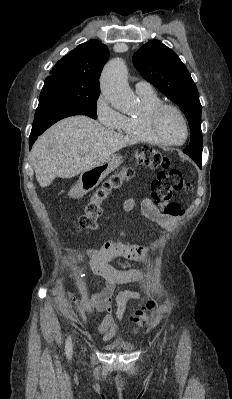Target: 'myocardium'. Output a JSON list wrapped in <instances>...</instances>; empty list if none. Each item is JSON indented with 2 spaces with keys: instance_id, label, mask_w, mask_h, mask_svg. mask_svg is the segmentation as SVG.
<instances>
[{
  "instance_id": "myocardium-1",
  "label": "myocardium",
  "mask_w": 232,
  "mask_h": 399,
  "mask_svg": "<svg viewBox=\"0 0 232 399\" xmlns=\"http://www.w3.org/2000/svg\"><path fill=\"white\" fill-rule=\"evenodd\" d=\"M168 109L173 110L179 116V118L182 120V122L185 126L186 136L182 142L178 143V142L171 141V140L165 138L159 132L158 125H157L158 119H159L160 115L165 110H168ZM146 125H147V129H148L149 133L155 139H157L161 143H163L165 145H169V146H181V145L185 144L190 135V128H189V124H188V121H187L185 115L178 107L171 105V104H161V105L155 107L154 109H152L147 115Z\"/></svg>"
}]
</instances>
